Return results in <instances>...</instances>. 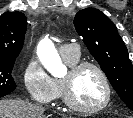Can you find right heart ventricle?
<instances>
[{
	"label": "right heart ventricle",
	"instance_id": "e07e8e85",
	"mask_svg": "<svg viewBox=\"0 0 133 118\" xmlns=\"http://www.w3.org/2000/svg\"><path fill=\"white\" fill-rule=\"evenodd\" d=\"M63 60L65 63L69 66H72L79 62L80 55L74 56V57H63ZM55 85H56V97H62V83L60 79H54Z\"/></svg>",
	"mask_w": 133,
	"mask_h": 118
}]
</instances>
